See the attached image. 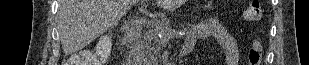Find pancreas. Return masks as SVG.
<instances>
[{"mask_svg": "<svg viewBox=\"0 0 309 65\" xmlns=\"http://www.w3.org/2000/svg\"><path fill=\"white\" fill-rule=\"evenodd\" d=\"M171 29L169 21L166 19H156L151 21L147 26V31L137 37V42L134 45L132 54L143 60H156L162 41L158 37V33L164 32Z\"/></svg>", "mask_w": 309, "mask_h": 65, "instance_id": "1", "label": "pancreas"}]
</instances>
